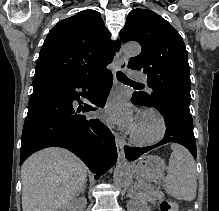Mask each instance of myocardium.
I'll list each match as a JSON object with an SVG mask.
<instances>
[{
  "instance_id": "myocardium-1",
  "label": "myocardium",
  "mask_w": 219,
  "mask_h": 211,
  "mask_svg": "<svg viewBox=\"0 0 219 211\" xmlns=\"http://www.w3.org/2000/svg\"><path fill=\"white\" fill-rule=\"evenodd\" d=\"M147 116L154 117L157 121V125L155 129L151 133H148V134L141 133L134 128L131 131V138L134 142H137L140 144H151L161 139L162 136L164 135L165 130H166V120H165L164 115L155 108H148V109H145L140 114L139 120Z\"/></svg>"
}]
</instances>
